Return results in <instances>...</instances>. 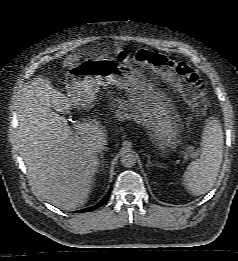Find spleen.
I'll return each instance as SVG.
<instances>
[{"instance_id":"3e777b00","label":"spleen","mask_w":238,"mask_h":261,"mask_svg":"<svg viewBox=\"0 0 238 261\" xmlns=\"http://www.w3.org/2000/svg\"><path fill=\"white\" fill-rule=\"evenodd\" d=\"M223 131L216 118H210L202 133L200 158L191 162L183 174V183L190 194L207 193L214 185L223 158Z\"/></svg>"}]
</instances>
